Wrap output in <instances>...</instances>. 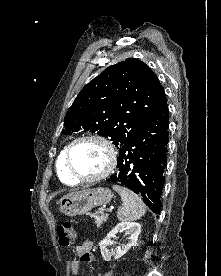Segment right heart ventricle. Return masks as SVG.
<instances>
[{"instance_id": "right-heart-ventricle-1", "label": "right heart ventricle", "mask_w": 221, "mask_h": 276, "mask_svg": "<svg viewBox=\"0 0 221 276\" xmlns=\"http://www.w3.org/2000/svg\"><path fill=\"white\" fill-rule=\"evenodd\" d=\"M65 150L63 149L57 159V172L60 180L66 184H76L77 181L73 179L67 172L65 166Z\"/></svg>"}]
</instances>
